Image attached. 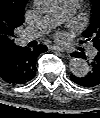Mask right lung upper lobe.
<instances>
[{"label": "right lung upper lobe", "instance_id": "right-lung-upper-lobe-1", "mask_svg": "<svg viewBox=\"0 0 100 118\" xmlns=\"http://www.w3.org/2000/svg\"><path fill=\"white\" fill-rule=\"evenodd\" d=\"M28 0H0V58L13 54L20 46L14 43V29L24 22Z\"/></svg>", "mask_w": 100, "mask_h": 118}]
</instances>
